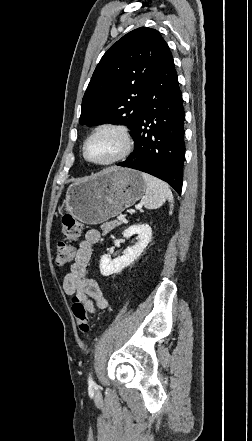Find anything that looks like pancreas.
Returning a JSON list of instances; mask_svg holds the SVG:
<instances>
[{
  "instance_id": "1",
  "label": "pancreas",
  "mask_w": 252,
  "mask_h": 441,
  "mask_svg": "<svg viewBox=\"0 0 252 441\" xmlns=\"http://www.w3.org/2000/svg\"><path fill=\"white\" fill-rule=\"evenodd\" d=\"M122 224L121 221H110L101 225V230L103 231V235H106L108 232L113 230L115 227L120 226Z\"/></svg>"
}]
</instances>
